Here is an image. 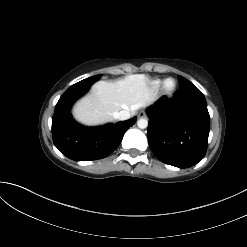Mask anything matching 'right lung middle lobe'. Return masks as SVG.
Masks as SVG:
<instances>
[{
	"instance_id": "dd1d6c3e",
	"label": "right lung middle lobe",
	"mask_w": 247,
	"mask_h": 247,
	"mask_svg": "<svg viewBox=\"0 0 247 247\" xmlns=\"http://www.w3.org/2000/svg\"><path fill=\"white\" fill-rule=\"evenodd\" d=\"M102 75L99 74V75H96V76H92L90 78H87V79H84L82 80L83 83H94L96 82L97 80H99V78L101 77Z\"/></svg>"
}]
</instances>
